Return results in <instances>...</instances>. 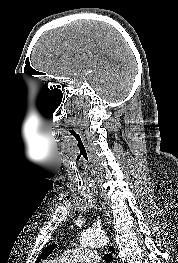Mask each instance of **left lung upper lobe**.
<instances>
[{
  "mask_svg": "<svg viewBox=\"0 0 178 263\" xmlns=\"http://www.w3.org/2000/svg\"><path fill=\"white\" fill-rule=\"evenodd\" d=\"M56 244H52L47 246L43 252L41 253V255L38 257V259L36 260V263H39L41 259H46L55 249Z\"/></svg>",
  "mask_w": 178,
  "mask_h": 263,
  "instance_id": "left-lung-upper-lobe-1",
  "label": "left lung upper lobe"
}]
</instances>
